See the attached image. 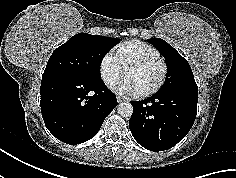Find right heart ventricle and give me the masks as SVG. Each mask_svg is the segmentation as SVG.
Segmentation results:
<instances>
[{
  "mask_svg": "<svg viewBox=\"0 0 236 178\" xmlns=\"http://www.w3.org/2000/svg\"><path fill=\"white\" fill-rule=\"evenodd\" d=\"M113 54L123 69L132 61L160 56L157 49L140 40H128L120 43L113 50Z\"/></svg>",
  "mask_w": 236,
  "mask_h": 178,
  "instance_id": "right-heart-ventricle-1",
  "label": "right heart ventricle"
}]
</instances>
